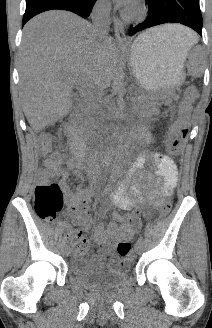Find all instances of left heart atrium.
<instances>
[{
	"instance_id": "obj_1",
	"label": "left heart atrium",
	"mask_w": 212,
	"mask_h": 328,
	"mask_svg": "<svg viewBox=\"0 0 212 328\" xmlns=\"http://www.w3.org/2000/svg\"><path fill=\"white\" fill-rule=\"evenodd\" d=\"M120 4L129 6L132 2V0H117Z\"/></svg>"
}]
</instances>
